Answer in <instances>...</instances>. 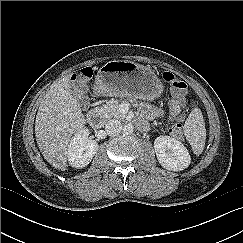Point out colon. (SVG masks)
Returning a JSON list of instances; mask_svg holds the SVG:
<instances>
[{"mask_svg":"<svg viewBox=\"0 0 243 243\" xmlns=\"http://www.w3.org/2000/svg\"><path fill=\"white\" fill-rule=\"evenodd\" d=\"M93 76V69L91 67L82 68L78 73L72 77L73 82L78 84H85ZM164 81L171 87L176 101L179 104L184 103V93L186 91V84L182 80L178 79L171 72H164ZM184 120V113L181 111L176 115L171 116L170 123L168 125V132L172 137L180 138L182 136V122Z\"/></svg>","mask_w":243,"mask_h":243,"instance_id":"5ec220e1","label":"colon"}]
</instances>
